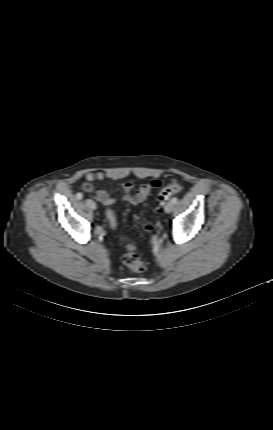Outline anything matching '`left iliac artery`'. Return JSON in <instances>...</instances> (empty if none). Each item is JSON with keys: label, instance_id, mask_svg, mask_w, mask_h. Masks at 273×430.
Masks as SVG:
<instances>
[{"label": "left iliac artery", "instance_id": "left-iliac-artery-1", "mask_svg": "<svg viewBox=\"0 0 273 430\" xmlns=\"http://www.w3.org/2000/svg\"><path fill=\"white\" fill-rule=\"evenodd\" d=\"M171 202H172L173 204H177L178 200H177V198H175V197H174V198H172V199H171Z\"/></svg>", "mask_w": 273, "mask_h": 430}]
</instances>
